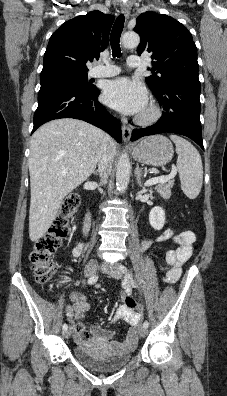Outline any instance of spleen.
I'll use <instances>...</instances> for the list:
<instances>
[{"label":"spleen","instance_id":"3e777b00","mask_svg":"<svg viewBox=\"0 0 227 396\" xmlns=\"http://www.w3.org/2000/svg\"><path fill=\"white\" fill-rule=\"evenodd\" d=\"M178 154L177 170L184 194L195 199L201 190L203 182L202 160L197 149L187 140L177 135H171Z\"/></svg>","mask_w":227,"mask_h":396}]
</instances>
